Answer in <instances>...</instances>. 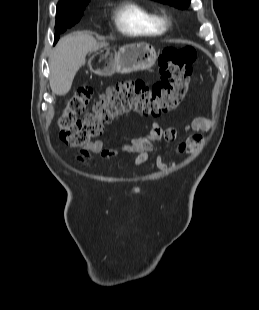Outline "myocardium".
<instances>
[{"label":"myocardium","instance_id":"obj_1","mask_svg":"<svg viewBox=\"0 0 259 310\" xmlns=\"http://www.w3.org/2000/svg\"><path fill=\"white\" fill-rule=\"evenodd\" d=\"M160 21L161 23L165 26V27H168L171 25L172 21H171V18L167 15H163V16H160Z\"/></svg>","mask_w":259,"mask_h":310}]
</instances>
